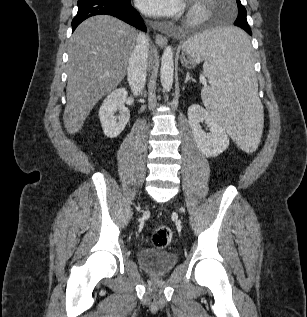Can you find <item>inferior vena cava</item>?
<instances>
[{
    "label": "inferior vena cava",
    "mask_w": 307,
    "mask_h": 317,
    "mask_svg": "<svg viewBox=\"0 0 307 317\" xmlns=\"http://www.w3.org/2000/svg\"><path fill=\"white\" fill-rule=\"evenodd\" d=\"M149 39L144 33L137 37V45L129 58L127 80L134 95H139L146 83Z\"/></svg>",
    "instance_id": "1"
}]
</instances>
